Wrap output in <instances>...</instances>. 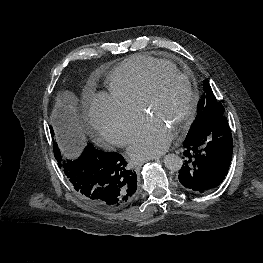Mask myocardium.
Listing matches in <instances>:
<instances>
[{
  "label": "myocardium",
  "mask_w": 263,
  "mask_h": 263,
  "mask_svg": "<svg viewBox=\"0 0 263 263\" xmlns=\"http://www.w3.org/2000/svg\"><path fill=\"white\" fill-rule=\"evenodd\" d=\"M176 77L183 80L186 83L188 92H189V103L185 113L178 120L175 133H180L193 119L199 101V96L196 88L194 87L191 79L186 74L178 71L177 69H165V68H157L153 71L146 87L143 92L141 101H140V109L143 113H146V109L150 101L153 99L158 82L163 77Z\"/></svg>",
  "instance_id": "myocardium-1"
}]
</instances>
